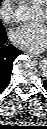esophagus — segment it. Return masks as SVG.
I'll list each match as a JSON object with an SVG mask.
<instances>
[{
    "instance_id": "esophagus-1",
    "label": "esophagus",
    "mask_w": 47,
    "mask_h": 129,
    "mask_svg": "<svg viewBox=\"0 0 47 129\" xmlns=\"http://www.w3.org/2000/svg\"><path fill=\"white\" fill-rule=\"evenodd\" d=\"M28 55L32 58V59H36V60H40L42 57L40 55H36V54H32L28 52Z\"/></svg>"
}]
</instances>
